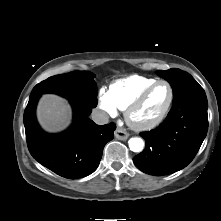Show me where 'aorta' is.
<instances>
[{
  "instance_id": "762f6f07",
  "label": "aorta",
  "mask_w": 221,
  "mask_h": 221,
  "mask_svg": "<svg viewBox=\"0 0 221 221\" xmlns=\"http://www.w3.org/2000/svg\"><path fill=\"white\" fill-rule=\"evenodd\" d=\"M129 148L133 152H141L144 148V142L141 138L134 137L128 141Z\"/></svg>"
}]
</instances>
